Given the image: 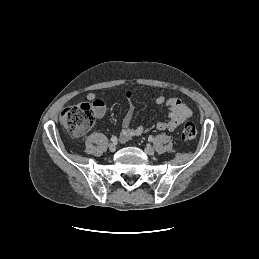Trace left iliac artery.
<instances>
[{
	"label": "left iliac artery",
	"instance_id": "left-iliac-artery-1",
	"mask_svg": "<svg viewBox=\"0 0 259 259\" xmlns=\"http://www.w3.org/2000/svg\"><path fill=\"white\" fill-rule=\"evenodd\" d=\"M154 140L153 136L148 137V141L152 142Z\"/></svg>",
	"mask_w": 259,
	"mask_h": 259
}]
</instances>
